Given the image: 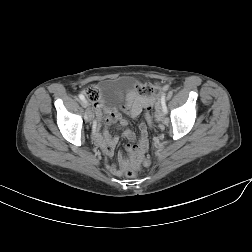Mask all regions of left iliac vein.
I'll list each match as a JSON object with an SVG mask.
<instances>
[{
    "instance_id": "obj_1",
    "label": "left iliac vein",
    "mask_w": 252,
    "mask_h": 252,
    "mask_svg": "<svg viewBox=\"0 0 252 252\" xmlns=\"http://www.w3.org/2000/svg\"><path fill=\"white\" fill-rule=\"evenodd\" d=\"M155 117L158 122L165 121V112L162 110L160 105L157 106Z\"/></svg>"
}]
</instances>
